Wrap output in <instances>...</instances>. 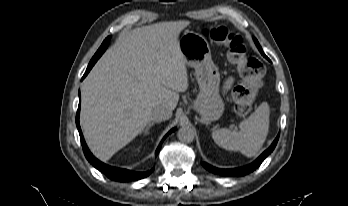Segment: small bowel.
Here are the masks:
<instances>
[{
    "mask_svg": "<svg viewBox=\"0 0 348 206\" xmlns=\"http://www.w3.org/2000/svg\"><path fill=\"white\" fill-rule=\"evenodd\" d=\"M233 83H234V80L232 78L228 79L224 85V90L228 91L233 85Z\"/></svg>",
    "mask_w": 348,
    "mask_h": 206,
    "instance_id": "c3829d8e",
    "label": "small bowel"
}]
</instances>
